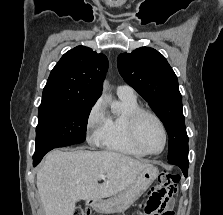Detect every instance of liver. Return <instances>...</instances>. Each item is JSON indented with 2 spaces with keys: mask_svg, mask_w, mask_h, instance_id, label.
I'll use <instances>...</instances> for the list:
<instances>
[{
  "mask_svg": "<svg viewBox=\"0 0 223 215\" xmlns=\"http://www.w3.org/2000/svg\"><path fill=\"white\" fill-rule=\"evenodd\" d=\"M151 163L117 151L53 149L37 171V187L46 215H73L79 199L111 197L128 189ZM106 175L103 183H98Z\"/></svg>",
  "mask_w": 223,
  "mask_h": 215,
  "instance_id": "1",
  "label": "liver"
}]
</instances>
